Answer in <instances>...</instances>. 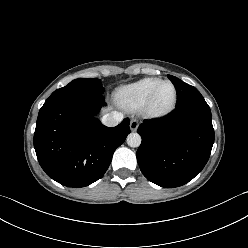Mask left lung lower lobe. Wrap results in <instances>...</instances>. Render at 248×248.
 <instances>
[{
	"instance_id": "left-lung-lower-lobe-1",
	"label": "left lung lower lobe",
	"mask_w": 248,
	"mask_h": 248,
	"mask_svg": "<svg viewBox=\"0 0 248 248\" xmlns=\"http://www.w3.org/2000/svg\"><path fill=\"white\" fill-rule=\"evenodd\" d=\"M137 161L143 175L167 188L182 186L206 165L214 143L211 111L204 99L175 110L155 124L140 125Z\"/></svg>"
}]
</instances>
